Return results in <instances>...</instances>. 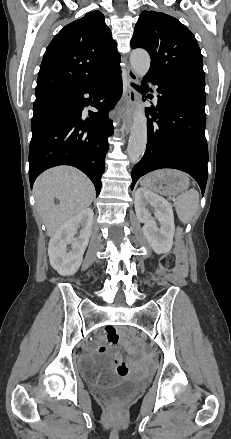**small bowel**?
Here are the masks:
<instances>
[{
	"label": "small bowel",
	"mask_w": 231,
	"mask_h": 439,
	"mask_svg": "<svg viewBox=\"0 0 231 439\" xmlns=\"http://www.w3.org/2000/svg\"><path fill=\"white\" fill-rule=\"evenodd\" d=\"M104 341L107 343L106 345L102 344ZM118 342H119V337L116 334V332L113 329H109L108 332H107L105 340H103V339L99 340L98 341V346L96 347V349L93 352V354L96 357H99L103 361L104 369H105L106 373H112V371H113V366L110 364L109 361L106 360L107 348L108 347L115 348L117 346ZM113 364L117 368L120 365L125 364L123 362V359H122L121 355L117 351L114 352ZM135 373L139 375V374L144 373V370L141 367H138L136 369ZM105 379H106V377L102 378V380H105Z\"/></svg>",
	"instance_id": "obj_1"
}]
</instances>
